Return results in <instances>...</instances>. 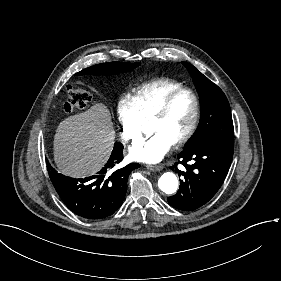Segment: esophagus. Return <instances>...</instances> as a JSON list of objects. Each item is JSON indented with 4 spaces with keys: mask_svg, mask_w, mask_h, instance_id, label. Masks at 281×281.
Instances as JSON below:
<instances>
[{
    "mask_svg": "<svg viewBox=\"0 0 281 281\" xmlns=\"http://www.w3.org/2000/svg\"><path fill=\"white\" fill-rule=\"evenodd\" d=\"M147 168L153 172H159L162 170V166H152V165H147Z\"/></svg>",
    "mask_w": 281,
    "mask_h": 281,
    "instance_id": "1",
    "label": "esophagus"
}]
</instances>
